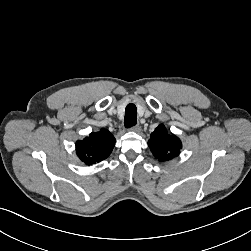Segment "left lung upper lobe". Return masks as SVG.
Here are the masks:
<instances>
[{
  "label": "left lung upper lobe",
  "mask_w": 251,
  "mask_h": 251,
  "mask_svg": "<svg viewBox=\"0 0 251 251\" xmlns=\"http://www.w3.org/2000/svg\"><path fill=\"white\" fill-rule=\"evenodd\" d=\"M150 137L148 146L159 161H168L179 155L182 147L180 139L175 135L168 134L163 124L159 125Z\"/></svg>",
  "instance_id": "1"
}]
</instances>
